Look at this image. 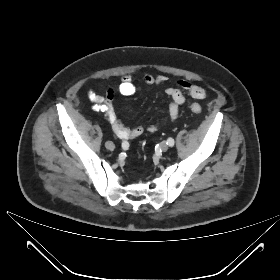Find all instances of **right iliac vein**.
Returning a JSON list of instances; mask_svg holds the SVG:
<instances>
[{"label": "right iliac vein", "instance_id": "right-iliac-vein-1", "mask_svg": "<svg viewBox=\"0 0 280 280\" xmlns=\"http://www.w3.org/2000/svg\"><path fill=\"white\" fill-rule=\"evenodd\" d=\"M105 147L108 149V150H114L115 149V145L112 143V142H110V141H107L106 143H105Z\"/></svg>", "mask_w": 280, "mask_h": 280}]
</instances>
